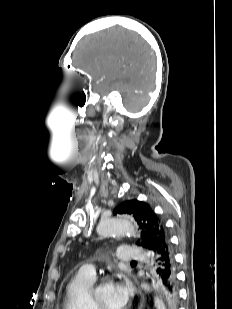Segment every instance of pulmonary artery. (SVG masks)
Listing matches in <instances>:
<instances>
[{
    "label": "pulmonary artery",
    "instance_id": "obj_1",
    "mask_svg": "<svg viewBox=\"0 0 232 309\" xmlns=\"http://www.w3.org/2000/svg\"><path fill=\"white\" fill-rule=\"evenodd\" d=\"M148 257L149 255H147L145 252L127 245L120 246L118 249V259L122 262H129L132 260H144ZM79 272L91 277H95V267L93 264L83 265L80 268Z\"/></svg>",
    "mask_w": 232,
    "mask_h": 309
}]
</instances>
